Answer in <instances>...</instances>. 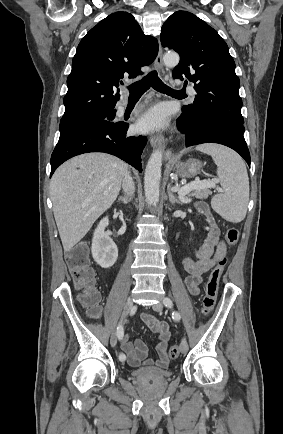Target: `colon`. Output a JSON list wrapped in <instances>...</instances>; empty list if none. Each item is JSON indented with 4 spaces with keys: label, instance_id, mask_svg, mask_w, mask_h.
<instances>
[{
    "label": "colon",
    "instance_id": "obj_1",
    "mask_svg": "<svg viewBox=\"0 0 283 434\" xmlns=\"http://www.w3.org/2000/svg\"><path fill=\"white\" fill-rule=\"evenodd\" d=\"M239 240V231L236 228H230L225 234V242L232 246ZM66 263L74 280L77 289L81 290L80 300L88 309L91 316L96 317L100 312L99 294L95 289L94 273L90 266L89 253L85 244H78L71 248L65 256ZM226 264V258L219 260L217 265L211 270L205 286V295L202 303V312L208 315L214 308L218 290L219 281ZM180 348L173 345L169 349L171 358L178 357Z\"/></svg>",
    "mask_w": 283,
    "mask_h": 434
}]
</instances>
